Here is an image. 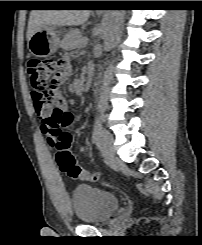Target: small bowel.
<instances>
[{
    "instance_id": "obj_1",
    "label": "small bowel",
    "mask_w": 202,
    "mask_h": 245,
    "mask_svg": "<svg viewBox=\"0 0 202 245\" xmlns=\"http://www.w3.org/2000/svg\"><path fill=\"white\" fill-rule=\"evenodd\" d=\"M60 61H62V62L65 64V66L67 67V69L70 70V68H71V58H70L69 55H64V56L60 59ZM71 89H73V87H71ZM51 109H52V110L59 111V112H61V113H68V112H69L68 106H67V103H66V100H65L63 97L58 98V99L53 103V105L51 106ZM39 111H40L41 113H44V108L41 107ZM46 116H47V115L45 114V117H46ZM45 117H44V118H45ZM42 131H43L44 133L47 132V131H46V128H45V125H43Z\"/></svg>"
}]
</instances>
